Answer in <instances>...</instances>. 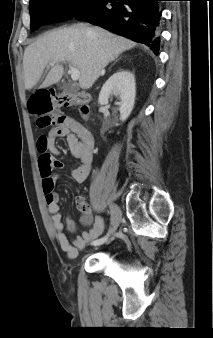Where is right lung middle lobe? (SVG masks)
<instances>
[{
    "instance_id": "right-lung-middle-lobe-1",
    "label": "right lung middle lobe",
    "mask_w": 213,
    "mask_h": 338,
    "mask_svg": "<svg viewBox=\"0 0 213 338\" xmlns=\"http://www.w3.org/2000/svg\"><path fill=\"white\" fill-rule=\"evenodd\" d=\"M96 0H30L31 30L42 25L66 21Z\"/></svg>"
}]
</instances>
